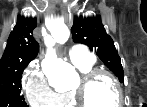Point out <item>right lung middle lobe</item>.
I'll return each instance as SVG.
<instances>
[{"instance_id":"right-lung-middle-lobe-1","label":"right lung middle lobe","mask_w":147,"mask_h":107,"mask_svg":"<svg viewBox=\"0 0 147 107\" xmlns=\"http://www.w3.org/2000/svg\"><path fill=\"white\" fill-rule=\"evenodd\" d=\"M26 67L0 75V107H28L20 95L22 72Z\"/></svg>"}]
</instances>
